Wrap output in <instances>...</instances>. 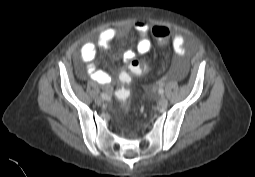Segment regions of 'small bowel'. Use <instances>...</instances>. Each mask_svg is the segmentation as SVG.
Returning <instances> with one entry per match:
<instances>
[{
  "mask_svg": "<svg viewBox=\"0 0 255 177\" xmlns=\"http://www.w3.org/2000/svg\"><path fill=\"white\" fill-rule=\"evenodd\" d=\"M134 30L141 37L137 44V51L140 54H146L151 49V41L148 38L149 25L145 22L139 21L134 24ZM117 37V32L113 28H107L99 32L94 36L95 41L86 42L80 51V59L82 62V68H78V73L84 77L87 76L91 80L107 86V90L110 91L109 85L111 83L110 75L96 67L94 64V59L96 56V49L100 47L102 49H107L110 43ZM172 46L175 53L179 56L185 54L184 49V38L181 34L177 33L174 35L172 40ZM135 58V53L133 51H126L123 54L124 61L128 62Z\"/></svg>",
  "mask_w": 255,
  "mask_h": 177,
  "instance_id": "obj_1",
  "label": "small bowel"
}]
</instances>
